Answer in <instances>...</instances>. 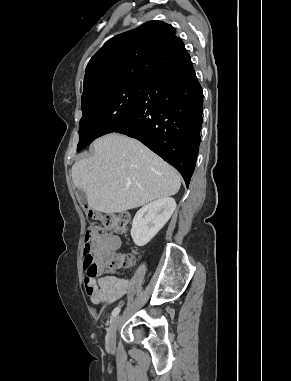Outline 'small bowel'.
<instances>
[{"label":"small bowel","mask_w":291,"mask_h":381,"mask_svg":"<svg viewBox=\"0 0 291 381\" xmlns=\"http://www.w3.org/2000/svg\"><path fill=\"white\" fill-rule=\"evenodd\" d=\"M94 240L100 252L116 251L121 245L117 235L96 232ZM85 291L94 304L111 303L122 298L128 290L129 283L126 279L114 275H103L99 278L86 277L84 279Z\"/></svg>","instance_id":"1"}]
</instances>
